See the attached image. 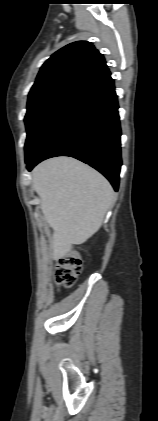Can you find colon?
I'll list each match as a JSON object with an SVG mask.
<instances>
[{
  "mask_svg": "<svg viewBox=\"0 0 158 421\" xmlns=\"http://www.w3.org/2000/svg\"><path fill=\"white\" fill-rule=\"evenodd\" d=\"M82 270L80 255L76 251H70L61 257L55 270V278L58 285L71 287Z\"/></svg>",
  "mask_w": 158,
  "mask_h": 421,
  "instance_id": "1",
  "label": "colon"
}]
</instances>
